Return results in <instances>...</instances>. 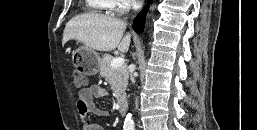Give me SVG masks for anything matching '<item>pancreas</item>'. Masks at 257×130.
Instances as JSON below:
<instances>
[{
  "label": "pancreas",
  "mask_w": 257,
  "mask_h": 130,
  "mask_svg": "<svg viewBox=\"0 0 257 130\" xmlns=\"http://www.w3.org/2000/svg\"><path fill=\"white\" fill-rule=\"evenodd\" d=\"M114 58L106 54L100 61V75L104 77L114 92L115 98L120 101L125 97V90L128 85V69L125 64L115 69L111 68Z\"/></svg>",
  "instance_id": "cf45deb5"
}]
</instances>
